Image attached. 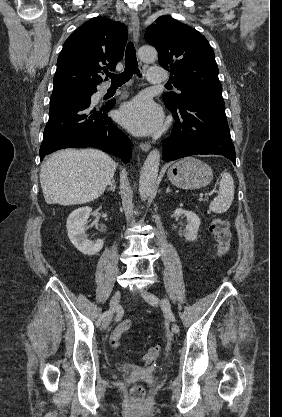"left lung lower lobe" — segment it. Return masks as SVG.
Wrapping results in <instances>:
<instances>
[{
	"label": "left lung lower lobe",
	"mask_w": 282,
	"mask_h": 417,
	"mask_svg": "<svg viewBox=\"0 0 282 417\" xmlns=\"http://www.w3.org/2000/svg\"><path fill=\"white\" fill-rule=\"evenodd\" d=\"M221 92L197 90L181 105L167 108L176 120L172 136L163 142V161L197 154H217L236 165Z\"/></svg>",
	"instance_id": "0a47b994"
}]
</instances>
